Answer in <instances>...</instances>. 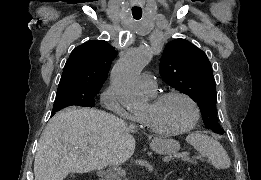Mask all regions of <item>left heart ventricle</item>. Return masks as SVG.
<instances>
[{"mask_svg": "<svg viewBox=\"0 0 261 180\" xmlns=\"http://www.w3.org/2000/svg\"><path fill=\"white\" fill-rule=\"evenodd\" d=\"M143 95L147 98V104L143 109L138 110L135 116L148 125L156 135L166 136L179 133L189 125L193 110L182 97L173 96L158 104H153L149 96Z\"/></svg>", "mask_w": 261, "mask_h": 180, "instance_id": "b2bd125f", "label": "left heart ventricle"}]
</instances>
